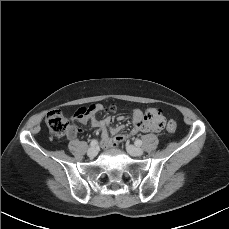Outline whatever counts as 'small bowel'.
Listing matches in <instances>:
<instances>
[{
  "label": "small bowel",
  "mask_w": 229,
  "mask_h": 229,
  "mask_svg": "<svg viewBox=\"0 0 229 229\" xmlns=\"http://www.w3.org/2000/svg\"><path fill=\"white\" fill-rule=\"evenodd\" d=\"M144 115L145 113L141 109L136 108L132 111L133 130L129 135L120 133L123 128L122 126L113 127L111 125V120L109 117L99 119L94 114L82 115L79 113V110H78L74 114L73 119L78 120L82 124H89L92 127L99 128L101 130L102 142L106 145H109L112 143L123 142L126 140L128 136L138 131L149 132L150 128L148 127L147 124L144 123ZM124 119L125 117L123 115H119L117 117L118 121H123ZM77 131H80V130L72 127L69 132V136L73 137Z\"/></svg>",
  "instance_id": "obj_1"
}]
</instances>
